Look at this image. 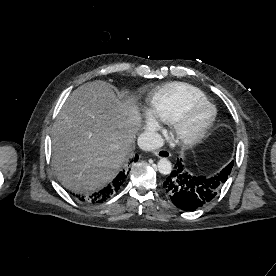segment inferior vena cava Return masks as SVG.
Masks as SVG:
<instances>
[{
  "mask_svg": "<svg viewBox=\"0 0 276 276\" xmlns=\"http://www.w3.org/2000/svg\"><path fill=\"white\" fill-rule=\"evenodd\" d=\"M138 146L142 150L150 151L163 146V138L156 132H144L137 139Z\"/></svg>",
  "mask_w": 276,
  "mask_h": 276,
  "instance_id": "obj_1",
  "label": "inferior vena cava"
}]
</instances>
